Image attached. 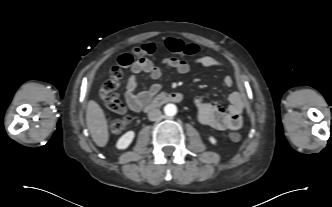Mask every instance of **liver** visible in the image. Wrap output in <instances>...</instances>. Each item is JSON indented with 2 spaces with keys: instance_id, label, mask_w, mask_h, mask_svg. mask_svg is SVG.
<instances>
[{
  "instance_id": "liver-1",
  "label": "liver",
  "mask_w": 332,
  "mask_h": 207,
  "mask_svg": "<svg viewBox=\"0 0 332 207\" xmlns=\"http://www.w3.org/2000/svg\"><path fill=\"white\" fill-rule=\"evenodd\" d=\"M87 128L95 144L104 147L108 143V124L103 109L94 100H90L86 110Z\"/></svg>"
}]
</instances>
